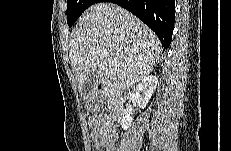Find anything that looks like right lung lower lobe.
<instances>
[{"instance_id":"98d812e1","label":"right lung lower lobe","mask_w":231,"mask_h":151,"mask_svg":"<svg viewBox=\"0 0 231 151\" xmlns=\"http://www.w3.org/2000/svg\"><path fill=\"white\" fill-rule=\"evenodd\" d=\"M115 3L133 13L150 27L164 50L170 46L174 28L175 0H99Z\"/></svg>"}]
</instances>
